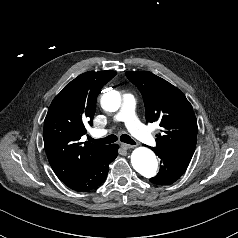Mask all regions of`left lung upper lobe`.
Wrapping results in <instances>:
<instances>
[{"label":"left lung upper lobe","instance_id":"obj_1","mask_svg":"<svg viewBox=\"0 0 238 238\" xmlns=\"http://www.w3.org/2000/svg\"><path fill=\"white\" fill-rule=\"evenodd\" d=\"M127 77L141 91L147 122H159L157 150L192 157L197 141V120L185 95L166 80L151 72L128 71Z\"/></svg>","mask_w":238,"mask_h":238}]
</instances>
